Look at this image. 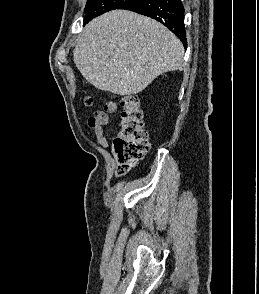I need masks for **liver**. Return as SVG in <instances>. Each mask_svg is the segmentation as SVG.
Listing matches in <instances>:
<instances>
[{"instance_id":"obj_1","label":"liver","mask_w":259,"mask_h":294,"mask_svg":"<svg viewBox=\"0 0 259 294\" xmlns=\"http://www.w3.org/2000/svg\"><path fill=\"white\" fill-rule=\"evenodd\" d=\"M183 55L181 41L164 25L126 10L90 21L73 51L89 83L121 96L140 93L159 75L182 69Z\"/></svg>"}]
</instances>
